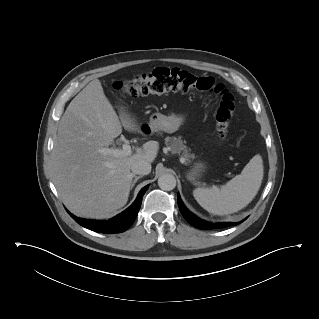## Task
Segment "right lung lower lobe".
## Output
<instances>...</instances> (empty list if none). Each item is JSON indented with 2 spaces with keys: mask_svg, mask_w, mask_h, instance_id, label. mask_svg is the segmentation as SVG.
I'll list each match as a JSON object with an SVG mask.
<instances>
[{
  "mask_svg": "<svg viewBox=\"0 0 319 319\" xmlns=\"http://www.w3.org/2000/svg\"><path fill=\"white\" fill-rule=\"evenodd\" d=\"M147 188H148V185L141 189L136 200L133 202V204L130 207H128L121 214L109 220H104V221L86 220V219L78 218L69 212L68 213L78 224L92 231L106 233V234L121 233L126 231L135 221L141 206L142 197L144 193L146 192Z\"/></svg>",
  "mask_w": 319,
  "mask_h": 319,
  "instance_id": "right-lung-lower-lobe-1",
  "label": "right lung lower lobe"
}]
</instances>
